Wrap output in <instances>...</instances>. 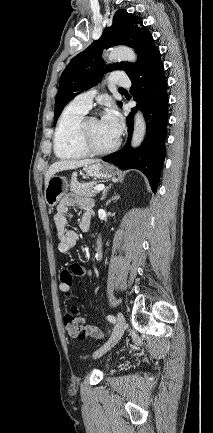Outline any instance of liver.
I'll return each mask as SVG.
<instances>
[{"label":"liver","mask_w":213,"mask_h":433,"mask_svg":"<svg viewBox=\"0 0 213 433\" xmlns=\"http://www.w3.org/2000/svg\"><path fill=\"white\" fill-rule=\"evenodd\" d=\"M98 162V160L95 159H83V160H64V161H58L54 164H52L46 173L45 176V186L47 185L49 179L54 176L59 171L64 170H70V169H76L79 167L87 166L92 163Z\"/></svg>","instance_id":"1"}]
</instances>
